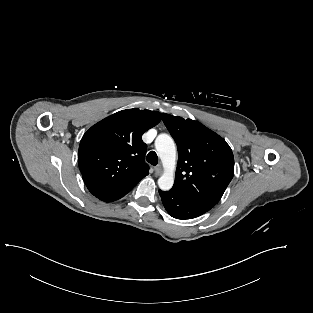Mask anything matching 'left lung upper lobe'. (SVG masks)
Returning a JSON list of instances; mask_svg holds the SVG:
<instances>
[{"label": "left lung upper lobe", "mask_w": 313, "mask_h": 313, "mask_svg": "<svg viewBox=\"0 0 313 313\" xmlns=\"http://www.w3.org/2000/svg\"><path fill=\"white\" fill-rule=\"evenodd\" d=\"M178 147L171 191L214 207L234 175V157L226 141L198 121L162 114Z\"/></svg>", "instance_id": "left-lung-upper-lobe-1"}]
</instances>
